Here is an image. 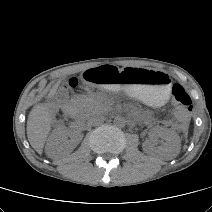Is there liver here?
Segmentation results:
<instances>
[{"mask_svg":"<svg viewBox=\"0 0 212 212\" xmlns=\"http://www.w3.org/2000/svg\"><path fill=\"white\" fill-rule=\"evenodd\" d=\"M59 80L50 90L48 97H53L60 85ZM54 113L46 103L35 105L29 113L27 120V137L31 146L42 154L44 143L51 130Z\"/></svg>","mask_w":212,"mask_h":212,"instance_id":"6515ba94","label":"liver"}]
</instances>
